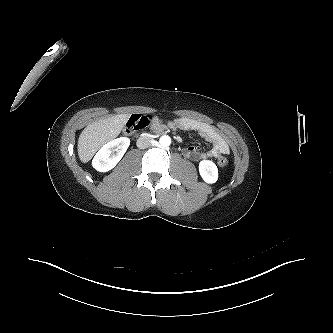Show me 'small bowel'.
<instances>
[{
    "mask_svg": "<svg viewBox=\"0 0 333 333\" xmlns=\"http://www.w3.org/2000/svg\"><path fill=\"white\" fill-rule=\"evenodd\" d=\"M151 127L154 131H161L165 128L194 131L211 144V148L207 151H200L193 146L186 147L183 154L188 159L201 161L229 153V145L225 138L213 126L204 122L188 117H177L170 121L153 117Z\"/></svg>",
    "mask_w": 333,
    "mask_h": 333,
    "instance_id": "c3829d8e",
    "label": "small bowel"
}]
</instances>
